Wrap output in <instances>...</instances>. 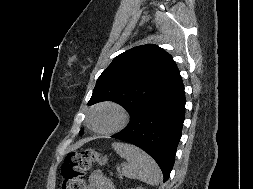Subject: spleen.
I'll return each instance as SVG.
<instances>
[{
  "label": "spleen",
  "mask_w": 253,
  "mask_h": 189,
  "mask_svg": "<svg viewBox=\"0 0 253 189\" xmlns=\"http://www.w3.org/2000/svg\"><path fill=\"white\" fill-rule=\"evenodd\" d=\"M112 148L127 160L122 174L131 179H138L151 185H158L162 174L154 159L140 148L126 143L114 142Z\"/></svg>",
  "instance_id": "1"
}]
</instances>
